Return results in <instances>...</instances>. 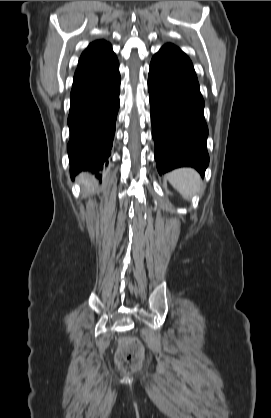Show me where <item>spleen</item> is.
<instances>
[{"instance_id": "3e777b00", "label": "spleen", "mask_w": 271, "mask_h": 418, "mask_svg": "<svg viewBox=\"0 0 271 418\" xmlns=\"http://www.w3.org/2000/svg\"><path fill=\"white\" fill-rule=\"evenodd\" d=\"M170 184L185 198H191L201 190L200 175L192 168H178L167 175Z\"/></svg>"}]
</instances>
